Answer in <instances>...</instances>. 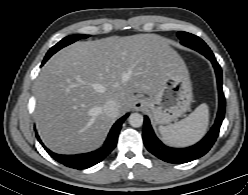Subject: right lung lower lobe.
<instances>
[{
  "mask_svg": "<svg viewBox=\"0 0 248 195\" xmlns=\"http://www.w3.org/2000/svg\"><path fill=\"white\" fill-rule=\"evenodd\" d=\"M45 62L43 61L42 64ZM128 115L129 114L127 113L113 125L104 145L101 148L85 154L60 155L53 153L44 146L37 134L36 136L48 154L59 163L74 169H86L102 161L115 148L122 123Z\"/></svg>",
  "mask_w": 248,
  "mask_h": 195,
  "instance_id": "obj_1",
  "label": "right lung lower lobe"
}]
</instances>
